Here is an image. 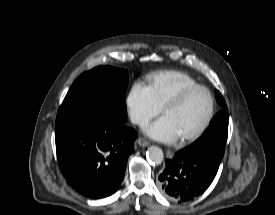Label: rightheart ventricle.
<instances>
[{
  "mask_svg": "<svg viewBox=\"0 0 275 215\" xmlns=\"http://www.w3.org/2000/svg\"><path fill=\"white\" fill-rule=\"evenodd\" d=\"M146 82L151 97L160 109L180 90L197 84L189 74L177 70L154 72L147 76Z\"/></svg>",
  "mask_w": 275,
  "mask_h": 215,
  "instance_id": "right-heart-ventricle-1",
  "label": "right heart ventricle"
}]
</instances>
